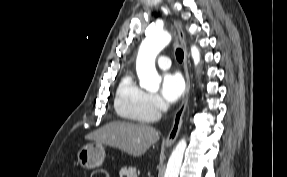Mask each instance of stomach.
Wrapping results in <instances>:
<instances>
[{
  "mask_svg": "<svg viewBox=\"0 0 287 177\" xmlns=\"http://www.w3.org/2000/svg\"><path fill=\"white\" fill-rule=\"evenodd\" d=\"M105 157V150L100 143H89L80 148L77 159L84 169H93L102 165Z\"/></svg>",
  "mask_w": 287,
  "mask_h": 177,
  "instance_id": "1",
  "label": "stomach"
}]
</instances>
